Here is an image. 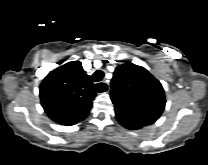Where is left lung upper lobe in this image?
<instances>
[{
	"instance_id": "left-lung-upper-lobe-1",
	"label": "left lung upper lobe",
	"mask_w": 208,
	"mask_h": 165,
	"mask_svg": "<svg viewBox=\"0 0 208 165\" xmlns=\"http://www.w3.org/2000/svg\"><path fill=\"white\" fill-rule=\"evenodd\" d=\"M110 96L116 119L124 127L153 124L166 104L161 83L145 68L132 63L115 69Z\"/></svg>"
}]
</instances>
